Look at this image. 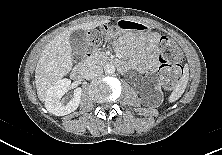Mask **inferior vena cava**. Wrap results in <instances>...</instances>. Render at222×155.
Segmentation results:
<instances>
[{
    "mask_svg": "<svg viewBox=\"0 0 222 155\" xmlns=\"http://www.w3.org/2000/svg\"><path fill=\"white\" fill-rule=\"evenodd\" d=\"M103 73V68L100 65L89 64L84 68V78L87 80L93 79Z\"/></svg>",
    "mask_w": 222,
    "mask_h": 155,
    "instance_id": "obj_1",
    "label": "inferior vena cava"
}]
</instances>
